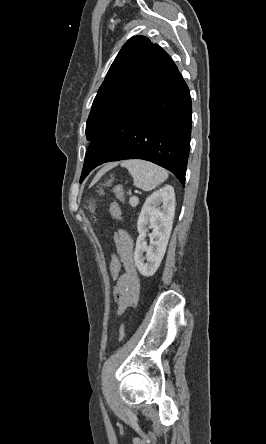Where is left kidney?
I'll return each mask as SVG.
<instances>
[{
	"instance_id": "left-kidney-1",
	"label": "left kidney",
	"mask_w": 266,
	"mask_h": 444,
	"mask_svg": "<svg viewBox=\"0 0 266 444\" xmlns=\"http://www.w3.org/2000/svg\"><path fill=\"white\" fill-rule=\"evenodd\" d=\"M174 213L175 194L171 185L155 191L146 199L141 209L137 222L139 236L136 241L134 261L141 275L145 277L152 276L160 266L171 234ZM148 226L153 228L152 246H147L145 241ZM143 252H146L147 263L144 262Z\"/></svg>"
}]
</instances>
